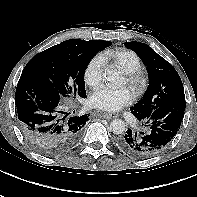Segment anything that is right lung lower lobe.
Returning <instances> with one entry per match:
<instances>
[{
  "label": "right lung lower lobe",
  "instance_id": "right-lung-lower-lobe-1",
  "mask_svg": "<svg viewBox=\"0 0 197 197\" xmlns=\"http://www.w3.org/2000/svg\"><path fill=\"white\" fill-rule=\"evenodd\" d=\"M15 105L23 134L56 153L71 148L89 120L88 115H69L57 90L33 78L20 77Z\"/></svg>",
  "mask_w": 197,
  "mask_h": 197
}]
</instances>
